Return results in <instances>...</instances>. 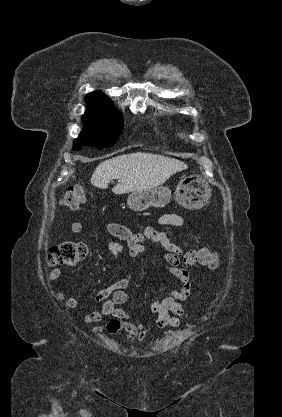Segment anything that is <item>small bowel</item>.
<instances>
[{
	"mask_svg": "<svg viewBox=\"0 0 282 417\" xmlns=\"http://www.w3.org/2000/svg\"><path fill=\"white\" fill-rule=\"evenodd\" d=\"M184 223L183 215L170 212L159 216L156 226H147L139 232H132L126 226L116 222H106L104 224L105 231L117 239L110 240L108 243V248L115 258H123V243L126 244L131 257H138L146 251L148 248L146 243L150 241L161 247L165 269L181 282L179 289L167 291L155 299L150 306V311L155 317V326L160 329L177 327L188 318L181 302L189 298L192 283L188 270L182 266L181 257L183 253L180 247L159 229L163 226L182 227ZM70 230L72 233L78 234L83 230V224L78 221L73 222ZM62 274L61 269L55 268L49 272L48 280L56 281ZM129 281L130 274L127 273L111 286L100 290L95 296V301L102 303V308L99 311L92 312L87 321L98 322L104 317H112L105 326V331L108 334L124 332L129 342H143L150 332L151 326L133 321L125 310L117 307V305L123 304L127 300V294L124 290ZM56 298L68 308H75L78 305L76 296L66 297L62 292H57ZM206 318L207 316L203 317V319Z\"/></svg>",
	"mask_w": 282,
	"mask_h": 417,
	"instance_id": "1",
	"label": "small bowel"
}]
</instances>
